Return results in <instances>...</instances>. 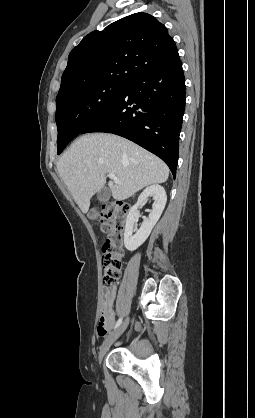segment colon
I'll return each mask as SVG.
<instances>
[{"instance_id":"obj_1","label":"colon","mask_w":255,"mask_h":418,"mask_svg":"<svg viewBox=\"0 0 255 418\" xmlns=\"http://www.w3.org/2000/svg\"><path fill=\"white\" fill-rule=\"evenodd\" d=\"M128 211L127 202L115 200L101 204L96 215V220L106 235L102 246L103 283L106 287L120 278L124 257L123 234ZM105 325L106 316L101 314L98 328L104 330Z\"/></svg>"}]
</instances>
